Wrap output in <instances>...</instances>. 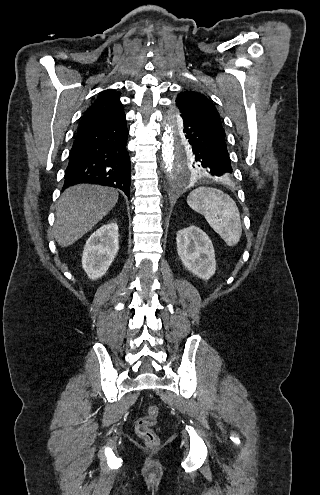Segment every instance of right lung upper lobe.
<instances>
[{
	"label": "right lung upper lobe",
	"instance_id": "cb5924a9",
	"mask_svg": "<svg viewBox=\"0 0 320 495\" xmlns=\"http://www.w3.org/2000/svg\"><path fill=\"white\" fill-rule=\"evenodd\" d=\"M125 120L119 92L107 89L100 92L95 101L85 111L77 132Z\"/></svg>",
	"mask_w": 320,
	"mask_h": 495
}]
</instances>
